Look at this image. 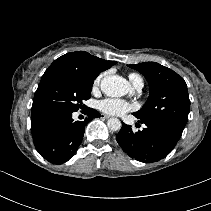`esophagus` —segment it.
<instances>
[{
	"label": "esophagus",
	"instance_id": "obj_1",
	"mask_svg": "<svg viewBox=\"0 0 211 211\" xmlns=\"http://www.w3.org/2000/svg\"><path fill=\"white\" fill-rule=\"evenodd\" d=\"M101 118H103V119H108V118H110V116L107 115V114H101Z\"/></svg>",
	"mask_w": 211,
	"mask_h": 211
}]
</instances>
